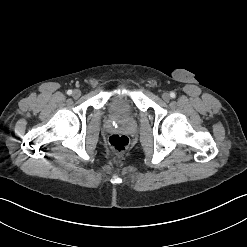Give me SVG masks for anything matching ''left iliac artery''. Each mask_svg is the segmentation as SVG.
<instances>
[{
  "mask_svg": "<svg viewBox=\"0 0 247 247\" xmlns=\"http://www.w3.org/2000/svg\"><path fill=\"white\" fill-rule=\"evenodd\" d=\"M170 97H171V98H175V97H176V94H175L174 92H171V93H170Z\"/></svg>",
  "mask_w": 247,
  "mask_h": 247,
  "instance_id": "1",
  "label": "left iliac artery"
}]
</instances>
